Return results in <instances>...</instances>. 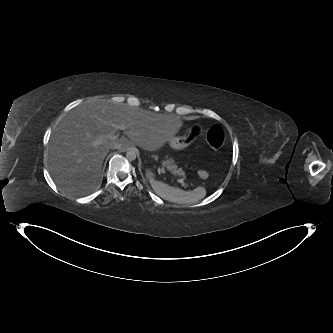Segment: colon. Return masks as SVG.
Wrapping results in <instances>:
<instances>
[{"instance_id":"1","label":"colon","mask_w":333,"mask_h":333,"mask_svg":"<svg viewBox=\"0 0 333 333\" xmlns=\"http://www.w3.org/2000/svg\"><path fill=\"white\" fill-rule=\"evenodd\" d=\"M206 141L213 150H219L224 143V132L221 127L214 125L211 126L206 133ZM198 175L200 178H205L207 172L199 170Z\"/></svg>"}]
</instances>
